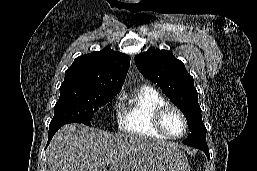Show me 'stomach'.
Wrapping results in <instances>:
<instances>
[{"label": "stomach", "instance_id": "0dacf381", "mask_svg": "<svg viewBox=\"0 0 257 171\" xmlns=\"http://www.w3.org/2000/svg\"><path fill=\"white\" fill-rule=\"evenodd\" d=\"M135 171H190V166L179 149L157 148L145 154Z\"/></svg>", "mask_w": 257, "mask_h": 171}]
</instances>
